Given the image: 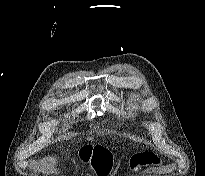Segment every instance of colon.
Segmentation results:
<instances>
[{
    "instance_id": "colon-1",
    "label": "colon",
    "mask_w": 205,
    "mask_h": 176,
    "mask_svg": "<svg viewBox=\"0 0 205 176\" xmlns=\"http://www.w3.org/2000/svg\"><path fill=\"white\" fill-rule=\"evenodd\" d=\"M85 163H89L99 176H107L112 169V159L109 152L102 147H93L81 156ZM161 161L155 153L149 150L134 154L130 161L132 169L138 171L147 166H159Z\"/></svg>"
}]
</instances>
